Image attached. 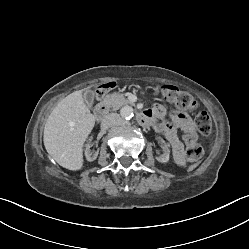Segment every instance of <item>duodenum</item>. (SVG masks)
<instances>
[{"label": "duodenum", "instance_id": "duodenum-1", "mask_svg": "<svg viewBox=\"0 0 249 249\" xmlns=\"http://www.w3.org/2000/svg\"><path fill=\"white\" fill-rule=\"evenodd\" d=\"M108 111V106L105 101L100 102L95 111H94V116L96 119L101 120L107 113ZM137 120L139 124L143 126H149L151 124L150 120L146 117L144 113H140L137 117Z\"/></svg>", "mask_w": 249, "mask_h": 249}]
</instances>
